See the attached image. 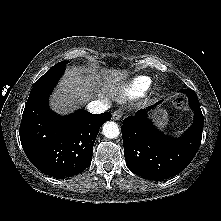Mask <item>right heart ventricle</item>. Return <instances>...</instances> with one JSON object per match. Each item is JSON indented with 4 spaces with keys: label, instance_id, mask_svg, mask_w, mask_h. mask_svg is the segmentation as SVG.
<instances>
[{
    "label": "right heart ventricle",
    "instance_id": "obj_1",
    "mask_svg": "<svg viewBox=\"0 0 221 221\" xmlns=\"http://www.w3.org/2000/svg\"><path fill=\"white\" fill-rule=\"evenodd\" d=\"M152 83V78L146 75H139L132 78L123 88L125 98H134L145 93Z\"/></svg>",
    "mask_w": 221,
    "mask_h": 221
}]
</instances>
